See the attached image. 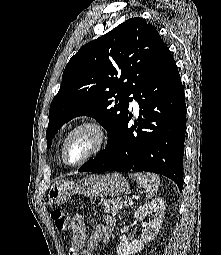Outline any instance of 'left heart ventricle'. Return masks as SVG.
I'll list each match as a JSON object with an SVG mask.
<instances>
[{
    "label": "left heart ventricle",
    "instance_id": "left-heart-ventricle-1",
    "mask_svg": "<svg viewBox=\"0 0 221 255\" xmlns=\"http://www.w3.org/2000/svg\"><path fill=\"white\" fill-rule=\"evenodd\" d=\"M95 134L91 130H82L74 134L66 147V159L75 163L84 158L94 147Z\"/></svg>",
    "mask_w": 221,
    "mask_h": 255
}]
</instances>
